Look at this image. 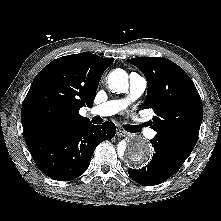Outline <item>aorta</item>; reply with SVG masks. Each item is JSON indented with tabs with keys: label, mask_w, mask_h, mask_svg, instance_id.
Returning <instances> with one entry per match:
<instances>
[{
	"label": "aorta",
	"mask_w": 221,
	"mask_h": 221,
	"mask_svg": "<svg viewBox=\"0 0 221 221\" xmlns=\"http://www.w3.org/2000/svg\"><path fill=\"white\" fill-rule=\"evenodd\" d=\"M128 75L123 69H115L108 75V86L112 93H124L128 89ZM119 156L132 167H142L151 158V148L142 136H132L118 145Z\"/></svg>",
	"instance_id": "1"
}]
</instances>
